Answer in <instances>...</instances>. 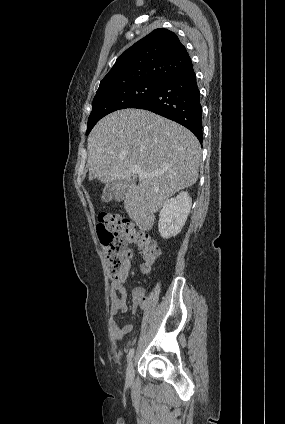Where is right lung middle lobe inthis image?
<instances>
[{
	"label": "right lung middle lobe",
	"mask_w": 285,
	"mask_h": 424,
	"mask_svg": "<svg viewBox=\"0 0 285 424\" xmlns=\"http://www.w3.org/2000/svg\"><path fill=\"white\" fill-rule=\"evenodd\" d=\"M162 84L161 81H139L97 91L93 99L86 135L101 118L116 110L130 108L138 101L155 93Z\"/></svg>",
	"instance_id": "obj_1"
}]
</instances>
